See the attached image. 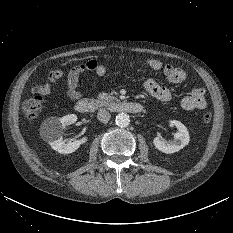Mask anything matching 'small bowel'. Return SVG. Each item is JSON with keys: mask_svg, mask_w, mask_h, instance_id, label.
<instances>
[{"mask_svg": "<svg viewBox=\"0 0 233 233\" xmlns=\"http://www.w3.org/2000/svg\"><path fill=\"white\" fill-rule=\"evenodd\" d=\"M148 67L152 70L158 71L163 69V73L171 83H182L186 80V73L181 68L165 65L158 59H148L145 61ZM91 71L98 77H103L107 73L106 67L95 59H89L79 65L70 69L67 73L62 70L55 69L50 72L48 82L44 84L35 85L32 92L38 96H46L53 90L54 84L66 78V94L75 101L82 97L81 91L78 89L80 76L86 72ZM144 89L152 97L160 101H170L172 93L164 86L158 84L154 79H147L144 82ZM182 108L186 111L203 110L207 103L205 99V90L202 87L193 88L191 92L186 95L181 101Z\"/></svg>", "mask_w": 233, "mask_h": 233, "instance_id": "c3829d8e", "label": "small bowel"}]
</instances>
